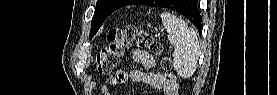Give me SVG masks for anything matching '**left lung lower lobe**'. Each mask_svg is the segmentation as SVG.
Masks as SVG:
<instances>
[{
    "label": "left lung lower lobe",
    "instance_id": "left-lung-lower-lobe-1",
    "mask_svg": "<svg viewBox=\"0 0 277 95\" xmlns=\"http://www.w3.org/2000/svg\"><path fill=\"white\" fill-rule=\"evenodd\" d=\"M153 0H132L127 5L143 4L150 6ZM162 0L159 7L173 9L188 18L197 29H201V16L197 10L196 0Z\"/></svg>",
    "mask_w": 277,
    "mask_h": 95
}]
</instances>
